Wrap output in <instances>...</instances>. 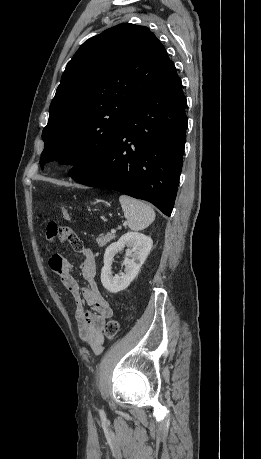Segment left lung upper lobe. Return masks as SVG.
<instances>
[{"instance_id": "1", "label": "left lung upper lobe", "mask_w": 261, "mask_h": 459, "mask_svg": "<svg viewBox=\"0 0 261 459\" xmlns=\"http://www.w3.org/2000/svg\"><path fill=\"white\" fill-rule=\"evenodd\" d=\"M173 67L145 26L122 23L88 39L68 62L51 102L41 168L59 160L74 164L71 177L94 171Z\"/></svg>"}]
</instances>
